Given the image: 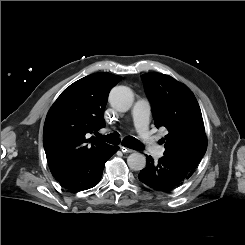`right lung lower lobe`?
I'll return each instance as SVG.
<instances>
[{"label":"right lung lower lobe","instance_id":"1","mask_svg":"<svg viewBox=\"0 0 245 245\" xmlns=\"http://www.w3.org/2000/svg\"><path fill=\"white\" fill-rule=\"evenodd\" d=\"M118 146H110L104 152L89 157L74 167L64 177L57 180L64 188L71 191H83L97 185L102 177L106 161L118 151Z\"/></svg>","mask_w":245,"mask_h":245}]
</instances>
